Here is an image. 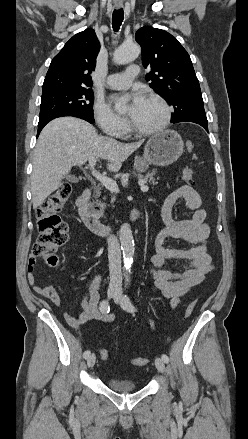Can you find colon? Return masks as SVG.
Returning <instances> with one entry per match:
<instances>
[{"label": "colon", "mask_w": 248, "mask_h": 439, "mask_svg": "<svg viewBox=\"0 0 248 439\" xmlns=\"http://www.w3.org/2000/svg\"><path fill=\"white\" fill-rule=\"evenodd\" d=\"M182 179L187 185H192L194 183V170L191 167H185L182 172ZM71 192V185L63 183L45 200L37 211L39 236L34 244L33 254L42 258L50 267L58 266L57 251L68 239V227L58 213L68 202ZM195 303V300H193L187 306L186 318L192 314ZM98 353L103 360L109 359V352L106 349H99ZM147 363V358H134L131 360V364L134 366H144Z\"/></svg>", "instance_id": "1"}]
</instances>
